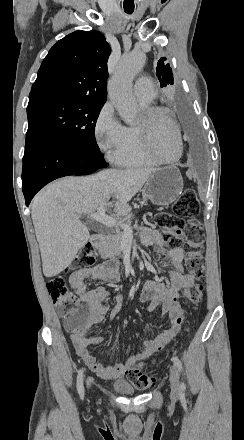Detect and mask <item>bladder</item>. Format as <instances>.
<instances>
[{"label":"bladder","instance_id":"31cf9c89","mask_svg":"<svg viewBox=\"0 0 244 440\" xmlns=\"http://www.w3.org/2000/svg\"><path fill=\"white\" fill-rule=\"evenodd\" d=\"M114 388L116 389L117 392L122 394H134L133 386L125 381L114 382Z\"/></svg>","mask_w":244,"mask_h":440}]
</instances>
